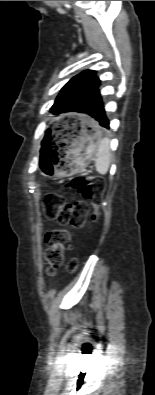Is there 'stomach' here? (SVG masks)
Here are the masks:
<instances>
[{"label":"stomach","instance_id":"obj_1","mask_svg":"<svg viewBox=\"0 0 155 395\" xmlns=\"http://www.w3.org/2000/svg\"><path fill=\"white\" fill-rule=\"evenodd\" d=\"M74 131L63 140L57 164L49 163L43 169L46 176H70L83 170L96 155L101 140V131L93 120L80 116ZM76 132V134H75ZM55 160V159H53Z\"/></svg>","mask_w":155,"mask_h":395}]
</instances>
